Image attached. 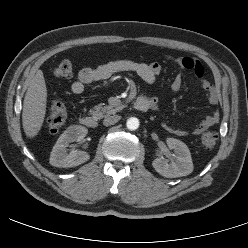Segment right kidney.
I'll list each match as a JSON object with an SVG mask.
<instances>
[{
  "label": "right kidney",
  "mask_w": 248,
  "mask_h": 248,
  "mask_svg": "<svg viewBox=\"0 0 248 248\" xmlns=\"http://www.w3.org/2000/svg\"><path fill=\"white\" fill-rule=\"evenodd\" d=\"M88 129L81 125L69 126L58 138L50 154V164L55 167H74L89 160L90 155L85 151L72 150L67 153L71 142L83 143Z\"/></svg>",
  "instance_id": "obj_1"
}]
</instances>
